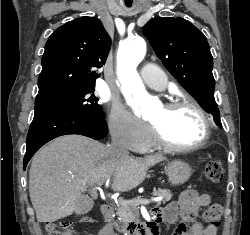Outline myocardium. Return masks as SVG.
Here are the masks:
<instances>
[{"label":"myocardium","instance_id":"obj_1","mask_svg":"<svg viewBox=\"0 0 250 235\" xmlns=\"http://www.w3.org/2000/svg\"><path fill=\"white\" fill-rule=\"evenodd\" d=\"M191 107L193 108L201 117L202 125H203V132L200 139L189 145H176L170 143L164 136L160 127L154 124H150L151 135L161 149L169 151V152H190L199 149L202 147L210 136V119L206 112V110L202 107V105L192 98H177L168 101L165 103L164 108L167 111H171L180 107Z\"/></svg>","mask_w":250,"mask_h":235}]
</instances>
